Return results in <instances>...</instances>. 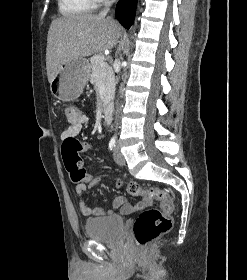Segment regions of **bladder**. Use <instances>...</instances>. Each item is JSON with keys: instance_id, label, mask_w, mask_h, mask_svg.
Returning a JSON list of instances; mask_svg holds the SVG:
<instances>
[{"instance_id": "bladder-1", "label": "bladder", "mask_w": 247, "mask_h": 280, "mask_svg": "<svg viewBox=\"0 0 247 280\" xmlns=\"http://www.w3.org/2000/svg\"><path fill=\"white\" fill-rule=\"evenodd\" d=\"M124 227V219L120 216H102L85 221L84 232L88 239L112 242L119 238Z\"/></svg>"}]
</instances>
